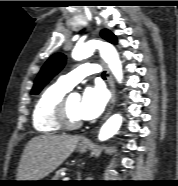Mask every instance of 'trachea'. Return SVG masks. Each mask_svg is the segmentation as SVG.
Here are the masks:
<instances>
[{
  "instance_id": "trachea-1",
  "label": "trachea",
  "mask_w": 178,
  "mask_h": 186,
  "mask_svg": "<svg viewBox=\"0 0 178 186\" xmlns=\"http://www.w3.org/2000/svg\"><path fill=\"white\" fill-rule=\"evenodd\" d=\"M102 76L105 77V72H103Z\"/></svg>"
}]
</instances>
